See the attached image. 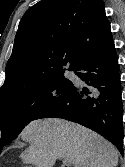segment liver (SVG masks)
Here are the masks:
<instances>
[{"label": "liver", "instance_id": "6515ba94", "mask_svg": "<svg viewBox=\"0 0 125 167\" xmlns=\"http://www.w3.org/2000/svg\"><path fill=\"white\" fill-rule=\"evenodd\" d=\"M20 136L30 143L20 155L24 164L53 167L60 158H68L74 167H116L118 164V151L113 144L70 121L34 120Z\"/></svg>", "mask_w": 125, "mask_h": 167}]
</instances>
